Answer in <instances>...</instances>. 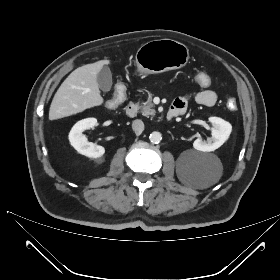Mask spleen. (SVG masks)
<instances>
[{
  "label": "spleen",
  "mask_w": 280,
  "mask_h": 280,
  "mask_svg": "<svg viewBox=\"0 0 280 280\" xmlns=\"http://www.w3.org/2000/svg\"><path fill=\"white\" fill-rule=\"evenodd\" d=\"M217 180H215V181H212L209 185H211V184H213V183H215Z\"/></svg>",
  "instance_id": "1"
}]
</instances>
